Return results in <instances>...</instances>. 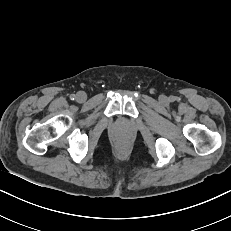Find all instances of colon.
Wrapping results in <instances>:
<instances>
[{
    "mask_svg": "<svg viewBox=\"0 0 231 231\" xmlns=\"http://www.w3.org/2000/svg\"><path fill=\"white\" fill-rule=\"evenodd\" d=\"M122 147H125V144H122Z\"/></svg>",
    "mask_w": 231,
    "mask_h": 231,
    "instance_id": "5ec220e1",
    "label": "colon"
}]
</instances>
